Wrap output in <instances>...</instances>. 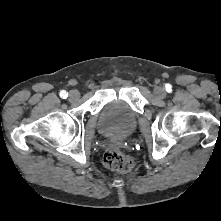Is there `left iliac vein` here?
<instances>
[{
	"label": "left iliac vein",
	"mask_w": 221,
	"mask_h": 221,
	"mask_svg": "<svg viewBox=\"0 0 221 221\" xmlns=\"http://www.w3.org/2000/svg\"><path fill=\"white\" fill-rule=\"evenodd\" d=\"M154 94L159 98H164L165 97V91L162 87H156L154 89Z\"/></svg>",
	"instance_id": "left-iliac-vein-1"
}]
</instances>
